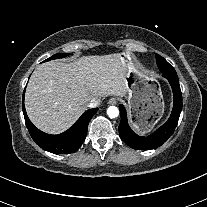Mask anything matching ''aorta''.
Returning <instances> with one entry per match:
<instances>
[{
	"mask_svg": "<svg viewBox=\"0 0 207 207\" xmlns=\"http://www.w3.org/2000/svg\"><path fill=\"white\" fill-rule=\"evenodd\" d=\"M107 115L110 118H116L119 115V109L116 106H110L107 109Z\"/></svg>",
	"mask_w": 207,
	"mask_h": 207,
	"instance_id": "762f6f07",
	"label": "aorta"
}]
</instances>
